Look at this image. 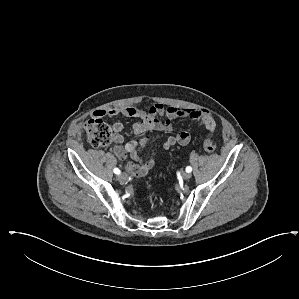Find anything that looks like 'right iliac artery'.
Returning <instances> with one entry per match:
<instances>
[{
	"label": "right iliac artery",
	"mask_w": 299,
	"mask_h": 299,
	"mask_svg": "<svg viewBox=\"0 0 299 299\" xmlns=\"http://www.w3.org/2000/svg\"><path fill=\"white\" fill-rule=\"evenodd\" d=\"M113 171H114V173L117 174V175L121 173V171H120L118 168H115Z\"/></svg>",
	"instance_id": "1"
}]
</instances>
